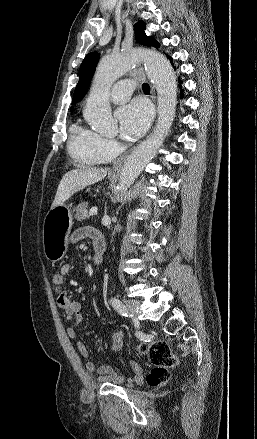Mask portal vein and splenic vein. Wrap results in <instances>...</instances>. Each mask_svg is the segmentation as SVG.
<instances>
[{
  "mask_svg": "<svg viewBox=\"0 0 257 439\" xmlns=\"http://www.w3.org/2000/svg\"><path fill=\"white\" fill-rule=\"evenodd\" d=\"M97 210H98L97 207H92V208L89 210V215H90V216H93V215L97 214Z\"/></svg>",
  "mask_w": 257,
  "mask_h": 439,
  "instance_id": "obj_1",
  "label": "portal vein and splenic vein"
}]
</instances>
